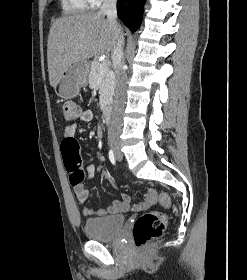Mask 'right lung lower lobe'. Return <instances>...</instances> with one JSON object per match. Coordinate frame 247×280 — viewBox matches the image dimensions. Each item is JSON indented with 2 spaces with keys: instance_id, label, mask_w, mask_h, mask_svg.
Returning a JSON list of instances; mask_svg holds the SVG:
<instances>
[{
  "instance_id": "right-lung-lower-lobe-1",
  "label": "right lung lower lobe",
  "mask_w": 247,
  "mask_h": 280,
  "mask_svg": "<svg viewBox=\"0 0 247 280\" xmlns=\"http://www.w3.org/2000/svg\"><path fill=\"white\" fill-rule=\"evenodd\" d=\"M145 0H118V17L135 32L141 24Z\"/></svg>"
}]
</instances>
